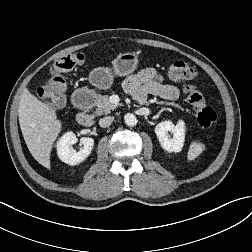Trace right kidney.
<instances>
[{
  "label": "right kidney",
  "instance_id": "right-kidney-1",
  "mask_svg": "<svg viewBox=\"0 0 252 252\" xmlns=\"http://www.w3.org/2000/svg\"><path fill=\"white\" fill-rule=\"evenodd\" d=\"M77 142L73 132H67L57 142V154L61 161L69 165H77L83 162L90 154L94 146V140L89 137L80 139L82 148L77 152L72 145Z\"/></svg>",
  "mask_w": 252,
  "mask_h": 252
}]
</instances>
